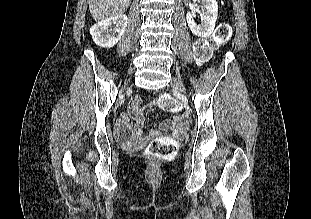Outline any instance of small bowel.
<instances>
[{"label": "small bowel", "instance_id": "1", "mask_svg": "<svg viewBox=\"0 0 311 219\" xmlns=\"http://www.w3.org/2000/svg\"><path fill=\"white\" fill-rule=\"evenodd\" d=\"M141 98L135 97L130 105V114L131 117L136 121L135 128L129 133L125 132L122 136L123 142L130 141H139L143 138V125H144V116L140 110ZM130 118L126 115L122 116L121 123L122 125L128 126ZM168 128L171 130L172 134L176 137H180L185 133V127L183 126L181 119L175 117L173 121L168 125Z\"/></svg>", "mask_w": 311, "mask_h": 219}]
</instances>
